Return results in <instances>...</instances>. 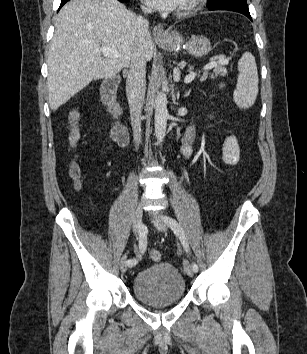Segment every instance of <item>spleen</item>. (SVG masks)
Wrapping results in <instances>:
<instances>
[{"instance_id":"spleen-1","label":"spleen","mask_w":307,"mask_h":354,"mask_svg":"<svg viewBox=\"0 0 307 354\" xmlns=\"http://www.w3.org/2000/svg\"><path fill=\"white\" fill-rule=\"evenodd\" d=\"M238 71L233 100L239 108L247 109L255 103L259 82L255 58L250 52L244 53L238 61Z\"/></svg>"}]
</instances>
